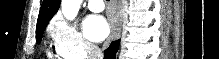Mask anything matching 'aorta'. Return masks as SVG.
Wrapping results in <instances>:
<instances>
[{
    "label": "aorta",
    "instance_id": "obj_1",
    "mask_svg": "<svg viewBox=\"0 0 219 59\" xmlns=\"http://www.w3.org/2000/svg\"><path fill=\"white\" fill-rule=\"evenodd\" d=\"M82 0H62L61 9L67 20H74L79 12Z\"/></svg>",
    "mask_w": 219,
    "mask_h": 59
}]
</instances>
